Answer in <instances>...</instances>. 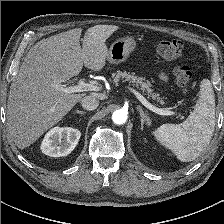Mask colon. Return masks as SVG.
I'll list each match as a JSON object with an SVG mask.
<instances>
[{
  "instance_id": "5ec220e1",
  "label": "colon",
  "mask_w": 224,
  "mask_h": 224,
  "mask_svg": "<svg viewBox=\"0 0 224 224\" xmlns=\"http://www.w3.org/2000/svg\"><path fill=\"white\" fill-rule=\"evenodd\" d=\"M183 49V43L176 39L163 40L157 45L159 55L167 60L179 59L182 56ZM174 76L178 86L184 92H187L190 89V84L193 77L191 67L187 64L177 65L174 69Z\"/></svg>"
}]
</instances>
